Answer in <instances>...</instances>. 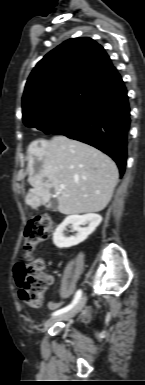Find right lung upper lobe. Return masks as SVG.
<instances>
[{"instance_id": "cb5924a9", "label": "right lung upper lobe", "mask_w": 145, "mask_h": 385, "mask_svg": "<svg viewBox=\"0 0 145 385\" xmlns=\"http://www.w3.org/2000/svg\"><path fill=\"white\" fill-rule=\"evenodd\" d=\"M101 45L83 37L63 42L40 60L24 90L23 116L72 89L97 91L119 79Z\"/></svg>"}]
</instances>
